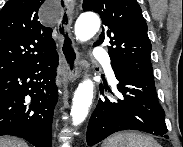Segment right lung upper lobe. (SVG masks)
Masks as SVG:
<instances>
[{
	"label": "right lung upper lobe",
	"mask_w": 183,
	"mask_h": 147,
	"mask_svg": "<svg viewBox=\"0 0 183 147\" xmlns=\"http://www.w3.org/2000/svg\"><path fill=\"white\" fill-rule=\"evenodd\" d=\"M43 2L9 0L0 11V76L57 53L52 29L38 19Z\"/></svg>",
	"instance_id": "right-lung-upper-lobe-1"
}]
</instances>
